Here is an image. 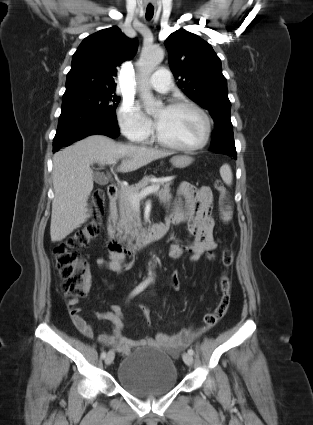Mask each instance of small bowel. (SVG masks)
Listing matches in <instances>:
<instances>
[{"label":"small bowel","mask_w":313,"mask_h":425,"mask_svg":"<svg viewBox=\"0 0 313 425\" xmlns=\"http://www.w3.org/2000/svg\"><path fill=\"white\" fill-rule=\"evenodd\" d=\"M178 195L184 198L176 200L173 212L167 218L164 226L171 224H185L188 232L193 236L189 244L175 242L170 245L169 257L179 259L184 253H190V261H198L208 250L215 248L213 238L214 222L211 217V207L213 194L209 187L196 188L190 183L182 182L178 188ZM98 267L116 273H122L124 267V255L110 252L108 257L96 259ZM90 290V281L87 280L85 293ZM69 315L77 330L87 338H92L94 331L92 326L81 316L80 308L76 305H68ZM101 320L109 321L113 325L111 333H103L98 336V341L106 346H112L117 351L127 354L136 346L151 345L162 346L170 349L173 354H177L181 348L188 346L197 332L193 330H182L175 336L159 334L155 338L131 339L123 334L124 322L119 306L113 305L109 311L98 313ZM207 328L202 327L198 333L204 332Z\"/></svg>","instance_id":"c3829d8e"}]
</instances>
